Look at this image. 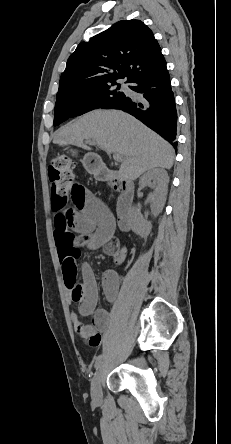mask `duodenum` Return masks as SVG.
<instances>
[{
    "label": "duodenum",
    "mask_w": 231,
    "mask_h": 444,
    "mask_svg": "<svg viewBox=\"0 0 231 444\" xmlns=\"http://www.w3.org/2000/svg\"><path fill=\"white\" fill-rule=\"evenodd\" d=\"M97 175L106 181H122V191L118 202V223L123 231L130 230V216L134 202V187L131 183L125 182L122 179V175L107 168L105 165H101L97 171Z\"/></svg>",
    "instance_id": "410a0bca"
}]
</instances>
